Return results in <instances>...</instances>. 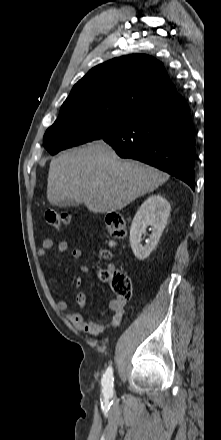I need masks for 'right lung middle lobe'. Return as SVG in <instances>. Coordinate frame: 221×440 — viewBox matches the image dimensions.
I'll return each mask as SVG.
<instances>
[{
    "mask_svg": "<svg viewBox=\"0 0 221 440\" xmlns=\"http://www.w3.org/2000/svg\"><path fill=\"white\" fill-rule=\"evenodd\" d=\"M135 110L115 102L77 101L63 105L59 117L44 135V147L61 150L98 140Z\"/></svg>",
    "mask_w": 221,
    "mask_h": 440,
    "instance_id": "1",
    "label": "right lung middle lobe"
}]
</instances>
